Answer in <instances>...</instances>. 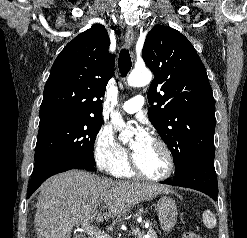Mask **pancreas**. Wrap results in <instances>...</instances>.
I'll return each instance as SVG.
<instances>
[{
    "mask_svg": "<svg viewBox=\"0 0 247 238\" xmlns=\"http://www.w3.org/2000/svg\"><path fill=\"white\" fill-rule=\"evenodd\" d=\"M147 234H148V236H149L148 238H157V234H156V232L154 231V229H153L152 226H150V227L148 228ZM137 238H145V234L142 233V232H138V233H137Z\"/></svg>",
    "mask_w": 247,
    "mask_h": 238,
    "instance_id": "cf45deb5",
    "label": "pancreas"
}]
</instances>
